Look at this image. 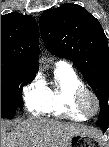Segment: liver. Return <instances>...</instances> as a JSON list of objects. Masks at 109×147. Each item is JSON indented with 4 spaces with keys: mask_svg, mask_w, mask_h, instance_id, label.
Returning <instances> with one entry per match:
<instances>
[{
    "mask_svg": "<svg viewBox=\"0 0 109 147\" xmlns=\"http://www.w3.org/2000/svg\"><path fill=\"white\" fill-rule=\"evenodd\" d=\"M10 125L7 121L1 123V147H69L74 135H102L95 128L38 117L24 120L6 132Z\"/></svg>",
    "mask_w": 109,
    "mask_h": 147,
    "instance_id": "obj_1",
    "label": "liver"
}]
</instances>
